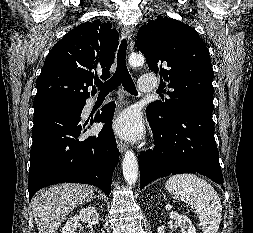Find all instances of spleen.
Instances as JSON below:
<instances>
[{"instance_id": "obj_1", "label": "spleen", "mask_w": 253, "mask_h": 233, "mask_svg": "<svg viewBox=\"0 0 253 233\" xmlns=\"http://www.w3.org/2000/svg\"><path fill=\"white\" fill-rule=\"evenodd\" d=\"M169 193L191 205L199 216L203 233H217L222 217L221 200L215 189L195 174H177L165 183Z\"/></svg>"}]
</instances>
